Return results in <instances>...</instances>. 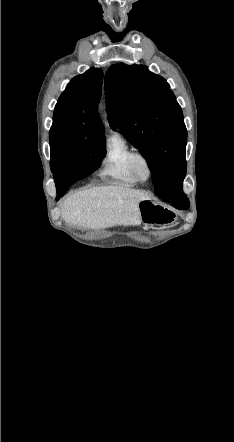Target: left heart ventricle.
<instances>
[{
	"label": "left heart ventricle",
	"mask_w": 234,
	"mask_h": 442,
	"mask_svg": "<svg viewBox=\"0 0 234 442\" xmlns=\"http://www.w3.org/2000/svg\"><path fill=\"white\" fill-rule=\"evenodd\" d=\"M136 169L138 174L142 177V178H146L148 175V167L145 163L144 160L142 159H137L136 160Z\"/></svg>",
	"instance_id": "1"
}]
</instances>
